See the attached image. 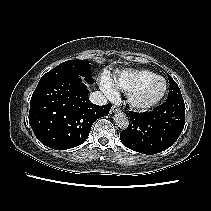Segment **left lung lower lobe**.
<instances>
[{
	"instance_id": "obj_1",
	"label": "left lung lower lobe",
	"mask_w": 211,
	"mask_h": 211,
	"mask_svg": "<svg viewBox=\"0 0 211 211\" xmlns=\"http://www.w3.org/2000/svg\"><path fill=\"white\" fill-rule=\"evenodd\" d=\"M130 121L120 139L127 148L142 154H157L168 149L184 128L183 98L167 99L153 111L129 113Z\"/></svg>"
}]
</instances>
